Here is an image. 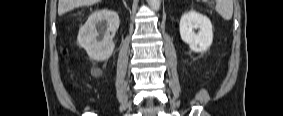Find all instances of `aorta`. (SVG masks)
Here are the masks:
<instances>
[{
    "mask_svg": "<svg viewBox=\"0 0 283 116\" xmlns=\"http://www.w3.org/2000/svg\"><path fill=\"white\" fill-rule=\"evenodd\" d=\"M149 4L154 11H158L160 8L161 0H149Z\"/></svg>",
    "mask_w": 283,
    "mask_h": 116,
    "instance_id": "1",
    "label": "aorta"
}]
</instances>
